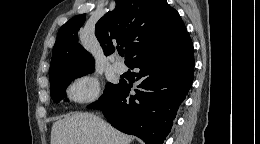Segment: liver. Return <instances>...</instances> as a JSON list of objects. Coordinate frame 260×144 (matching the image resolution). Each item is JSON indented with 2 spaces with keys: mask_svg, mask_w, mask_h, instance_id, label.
Instances as JSON below:
<instances>
[{
  "mask_svg": "<svg viewBox=\"0 0 260 144\" xmlns=\"http://www.w3.org/2000/svg\"><path fill=\"white\" fill-rule=\"evenodd\" d=\"M131 137L90 113H74L56 121L51 144H130Z\"/></svg>",
  "mask_w": 260,
  "mask_h": 144,
  "instance_id": "liver-1",
  "label": "liver"
}]
</instances>
